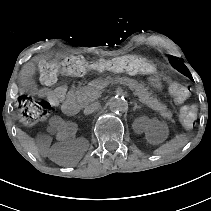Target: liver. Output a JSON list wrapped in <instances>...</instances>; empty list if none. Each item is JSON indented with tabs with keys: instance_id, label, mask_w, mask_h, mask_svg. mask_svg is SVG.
<instances>
[{
	"instance_id": "6515ba94",
	"label": "liver",
	"mask_w": 211,
	"mask_h": 211,
	"mask_svg": "<svg viewBox=\"0 0 211 211\" xmlns=\"http://www.w3.org/2000/svg\"><path fill=\"white\" fill-rule=\"evenodd\" d=\"M18 139L27 150L39 158L38 148L36 147L34 140L20 129H18Z\"/></svg>"
}]
</instances>
